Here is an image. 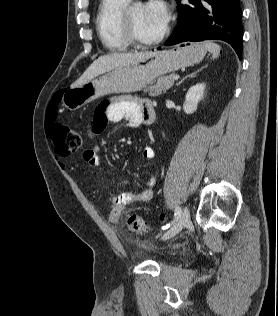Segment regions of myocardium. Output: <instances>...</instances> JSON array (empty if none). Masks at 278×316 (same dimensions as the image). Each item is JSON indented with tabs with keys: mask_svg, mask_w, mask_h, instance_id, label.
I'll list each match as a JSON object with an SVG mask.
<instances>
[{
	"mask_svg": "<svg viewBox=\"0 0 278 316\" xmlns=\"http://www.w3.org/2000/svg\"><path fill=\"white\" fill-rule=\"evenodd\" d=\"M123 28L125 35L130 42V44L137 47H149L160 43L166 38L169 33V27H165L164 30L155 38L150 40H144L140 38L135 30L133 20L130 16V9L124 11L123 13Z\"/></svg>",
	"mask_w": 278,
	"mask_h": 316,
	"instance_id": "obj_1",
	"label": "myocardium"
}]
</instances>
